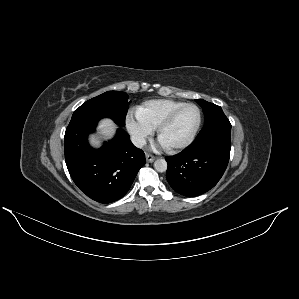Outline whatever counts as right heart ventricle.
Returning <instances> with one entry per match:
<instances>
[{
	"label": "right heart ventricle",
	"mask_w": 299,
	"mask_h": 299,
	"mask_svg": "<svg viewBox=\"0 0 299 299\" xmlns=\"http://www.w3.org/2000/svg\"><path fill=\"white\" fill-rule=\"evenodd\" d=\"M182 104L184 102L178 100L152 99L141 104L137 109V114L144 122L155 129L172 110Z\"/></svg>",
	"instance_id": "1"
}]
</instances>
